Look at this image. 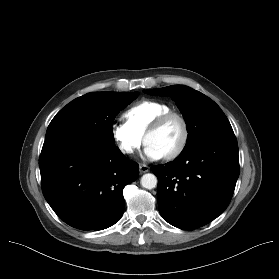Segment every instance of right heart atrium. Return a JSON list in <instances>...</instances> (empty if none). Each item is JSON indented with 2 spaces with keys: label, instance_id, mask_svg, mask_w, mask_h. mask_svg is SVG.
Here are the masks:
<instances>
[{
  "label": "right heart atrium",
  "instance_id": "1",
  "mask_svg": "<svg viewBox=\"0 0 279 279\" xmlns=\"http://www.w3.org/2000/svg\"><path fill=\"white\" fill-rule=\"evenodd\" d=\"M111 135L118 150L131 156L142 145V137L138 135L127 122H117L111 126Z\"/></svg>",
  "mask_w": 279,
  "mask_h": 279
}]
</instances>
